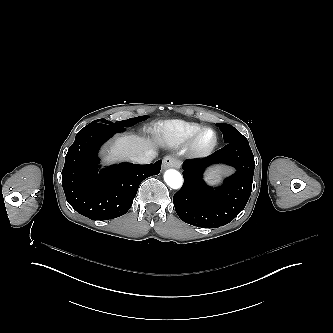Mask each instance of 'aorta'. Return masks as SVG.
Wrapping results in <instances>:
<instances>
[{
	"instance_id": "obj_1",
	"label": "aorta",
	"mask_w": 333,
	"mask_h": 333,
	"mask_svg": "<svg viewBox=\"0 0 333 333\" xmlns=\"http://www.w3.org/2000/svg\"><path fill=\"white\" fill-rule=\"evenodd\" d=\"M164 180L166 184L174 190L181 189L184 183L181 173L174 169H169L165 172Z\"/></svg>"
}]
</instances>
